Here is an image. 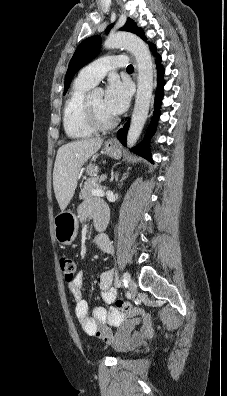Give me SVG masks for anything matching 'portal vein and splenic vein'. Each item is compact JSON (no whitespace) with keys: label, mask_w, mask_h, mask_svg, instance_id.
<instances>
[{"label":"portal vein and splenic vein","mask_w":227,"mask_h":396,"mask_svg":"<svg viewBox=\"0 0 227 396\" xmlns=\"http://www.w3.org/2000/svg\"><path fill=\"white\" fill-rule=\"evenodd\" d=\"M92 194L95 196H104V191L102 189H93Z\"/></svg>","instance_id":"1"}]
</instances>
